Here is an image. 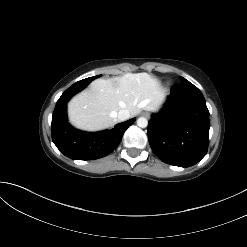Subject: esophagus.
Masks as SVG:
<instances>
[{
	"mask_svg": "<svg viewBox=\"0 0 247 247\" xmlns=\"http://www.w3.org/2000/svg\"><path fill=\"white\" fill-rule=\"evenodd\" d=\"M142 116L146 117V118H149L150 117V114L148 112H143L142 113Z\"/></svg>",
	"mask_w": 247,
	"mask_h": 247,
	"instance_id": "esophagus-1",
	"label": "esophagus"
}]
</instances>
